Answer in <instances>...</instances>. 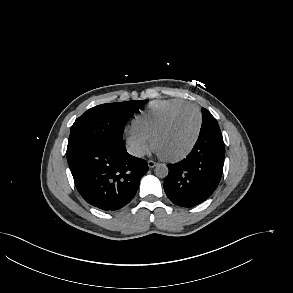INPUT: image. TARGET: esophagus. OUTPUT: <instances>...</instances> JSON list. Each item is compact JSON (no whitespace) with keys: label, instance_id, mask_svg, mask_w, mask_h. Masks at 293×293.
<instances>
[{"label":"esophagus","instance_id":"34e87169","mask_svg":"<svg viewBox=\"0 0 293 293\" xmlns=\"http://www.w3.org/2000/svg\"><path fill=\"white\" fill-rule=\"evenodd\" d=\"M147 163H148L149 168H154L157 165V163L152 160H149Z\"/></svg>","mask_w":293,"mask_h":293}]
</instances>
